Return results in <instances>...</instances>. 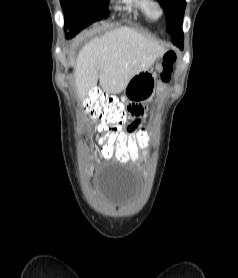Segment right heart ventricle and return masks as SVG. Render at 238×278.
<instances>
[{
    "label": "right heart ventricle",
    "mask_w": 238,
    "mask_h": 278,
    "mask_svg": "<svg viewBox=\"0 0 238 278\" xmlns=\"http://www.w3.org/2000/svg\"><path fill=\"white\" fill-rule=\"evenodd\" d=\"M130 5L135 8L145 18H151L149 12V0H129Z\"/></svg>",
    "instance_id": "e07e8e85"
}]
</instances>
